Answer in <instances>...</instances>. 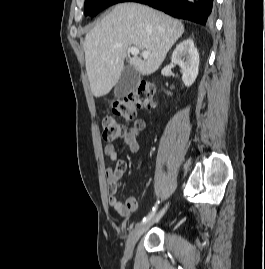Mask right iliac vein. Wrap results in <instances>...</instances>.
<instances>
[{
	"label": "right iliac vein",
	"instance_id": "obj_1",
	"mask_svg": "<svg viewBox=\"0 0 265 269\" xmlns=\"http://www.w3.org/2000/svg\"><path fill=\"white\" fill-rule=\"evenodd\" d=\"M167 208H168V203L153 218H151L146 223L137 226L131 232V234L127 240V243H126V251H125L126 256L130 257L132 255L134 246H135L136 242L139 240V238L141 237V235L144 232H146L151 225H153L154 223H156L157 221L160 220V218L166 212Z\"/></svg>",
	"mask_w": 265,
	"mask_h": 269
}]
</instances>
